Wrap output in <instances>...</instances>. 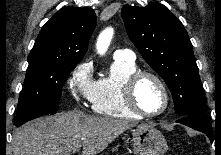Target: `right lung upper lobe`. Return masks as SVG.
Here are the masks:
<instances>
[{
    "instance_id": "cb5924a9",
    "label": "right lung upper lobe",
    "mask_w": 221,
    "mask_h": 155,
    "mask_svg": "<svg viewBox=\"0 0 221 155\" xmlns=\"http://www.w3.org/2000/svg\"><path fill=\"white\" fill-rule=\"evenodd\" d=\"M96 26L91 8L64 7L42 28L28 60H55L77 64L88 49Z\"/></svg>"
}]
</instances>
